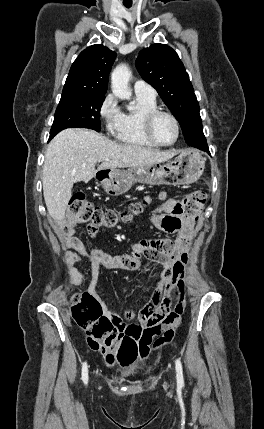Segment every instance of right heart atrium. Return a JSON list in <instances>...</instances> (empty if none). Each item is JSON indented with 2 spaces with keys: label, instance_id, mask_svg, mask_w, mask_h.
<instances>
[{
  "label": "right heart atrium",
  "instance_id": "1",
  "mask_svg": "<svg viewBox=\"0 0 264 429\" xmlns=\"http://www.w3.org/2000/svg\"><path fill=\"white\" fill-rule=\"evenodd\" d=\"M99 116L103 121L106 130L109 133H114L121 117V110L117 100L112 94H107L98 109Z\"/></svg>",
  "mask_w": 264,
  "mask_h": 429
}]
</instances>
